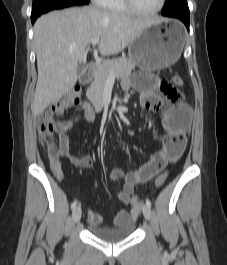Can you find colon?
Instances as JSON below:
<instances>
[{
  "label": "colon",
  "mask_w": 227,
  "mask_h": 265,
  "mask_svg": "<svg viewBox=\"0 0 227 265\" xmlns=\"http://www.w3.org/2000/svg\"><path fill=\"white\" fill-rule=\"evenodd\" d=\"M171 83L173 86H182L183 79L179 75H174L171 78ZM80 98V89L78 87L74 88L64 96L57 99L49 107H47L43 112L38 115L37 118V128L40 143L47 147L49 150L55 147L53 142L54 133V121L55 117L63 112L66 108L74 105ZM167 179V173L160 174L156 181L155 186L160 188ZM131 204L135 210H137L141 205V199L138 196H133L131 199Z\"/></svg>",
  "instance_id": "colon-1"
}]
</instances>
